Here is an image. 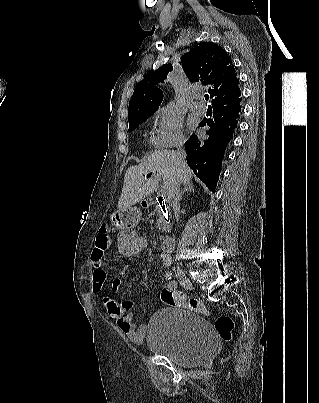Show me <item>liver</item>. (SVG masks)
<instances>
[{
    "label": "liver",
    "mask_w": 319,
    "mask_h": 403,
    "mask_svg": "<svg viewBox=\"0 0 319 403\" xmlns=\"http://www.w3.org/2000/svg\"><path fill=\"white\" fill-rule=\"evenodd\" d=\"M145 179L143 175L151 174ZM162 176V188L170 197V190L176 181L184 185L192 181L193 172L185 161L179 163L176 153L171 150H155L147 160L139 165L131 166L124 176V184L118 202L119 210L130 208L137 202L154 192Z\"/></svg>",
    "instance_id": "liver-1"
}]
</instances>
